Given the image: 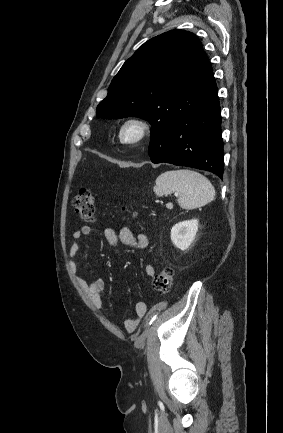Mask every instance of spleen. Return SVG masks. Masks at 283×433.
<instances>
[{"label": "spleen", "mask_w": 283, "mask_h": 433, "mask_svg": "<svg viewBox=\"0 0 283 433\" xmlns=\"http://www.w3.org/2000/svg\"><path fill=\"white\" fill-rule=\"evenodd\" d=\"M153 190L157 196L177 192L181 208H199L211 202L215 196V188L210 180L195 170H167L159 174Z\"/></svg>", "instance_id": "spleen-1"}]
</instances>
